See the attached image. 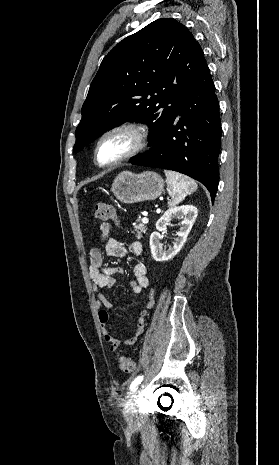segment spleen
Listing matches in <instances>:
<instances>
[{
  "mask_svg": "<svg viewBox=\"0 0 279 465\" xmlns=\"http://www.w3.org/2000/svg\"><path fill=\"white\" fill-rule=\"evenodd\" d=\"M165 175L167 190L171 196V199L168 202L169 206H175L184 200L187 195H190L192 192L197 190L196 182L189 177H185L184 175L174 171H165Z\"/></svg>",
  "mask_w": 279,
  "mask_h": 465,
  "instance_id": "spleen-1",
  "label": "spleen"
}]
</instances>
